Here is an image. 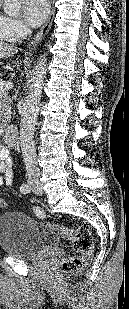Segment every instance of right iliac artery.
<instances>
[{"instance_id": "82829eb1", "label": "right iliac artery", "mask_w": 129, "mask_h": 309, "mask_svg": "<svg viewBox=\"0 0 129 309\" xmlns=\"http://www.w3.org/2000/svg\"><path fill=\"white\" fill-rule=\"evenodd\" d=\"M27 170H28V177H29V179L31 178V174H32V172H31V168L30 167H27ZM20 191L22 192V193H28L29 191H30V185H29V183H27V184H23L21 187H20Z\"/></svg>"}]
</instances>
